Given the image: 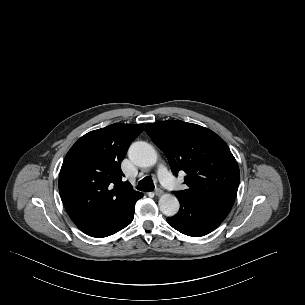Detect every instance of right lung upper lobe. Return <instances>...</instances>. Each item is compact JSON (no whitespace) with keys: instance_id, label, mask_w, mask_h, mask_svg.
<instances>
[{"instance_id":"cb5924a9","label":"right lung upper lobe","mask_w":305,"mask_h":305,"mask_svg":"<svg viewBox=\"0 0 305 305\" xmlns=\"http://www.w3.org/2000/svg\"><path fill=\"white\" fill-rule=\"evenodd\" d=\"M143 124L115 123L82 136L68 151L59 175L63 204L78 228L104 225L143 194L123 182L121 160Z\"/></svg>"}]
</instances>
